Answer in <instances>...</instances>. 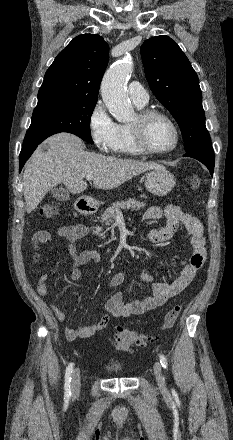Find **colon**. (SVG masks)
I'll use <instances>...</instances> for the list:
<instances>
[{
	"label": "colon",
	"mask_w": 233,
	"mask_h": 440,
	"mask_svg": "<svg viewBox=\"0 0 233 440\" xmlns=\"http://www.w3.org/2000/svg\"><path fill=\"white\" fill-rule=\"evenodd\" d=\"M200 186V178L193 176L190 180V188L198 189ZM59 207L54 203H48L42 206L41 213L47 218H52L58 214ZM182 311V305L178 304L172 307L161 323V329H168L174 325ZM114 340L116 348L120 351L128 352L132 347H145L155 337L139 334L125 327L119 326L114 330Z\"/></svg>",
	"instance_id": "obj_1"
}]
</instances>
